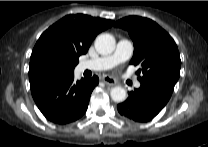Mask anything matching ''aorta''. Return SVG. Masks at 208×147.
Returning <instances> with one entry per match:
<instances>
[{"label": "aorta", "mask_w": 208, "mask_h": 147, "mask_svg": "<svg viewBox=\"0 0 208 147\" xmlns=\"http://www.w3.org/2000/svg\"><path fill=\"white\" fill-rule=\"evenodd\" d=\"M115 46L116 41L111 34L103 33L95 39V49L102 55L111 54L115 50ZM110 95L112 100L117 103L123 102L127 98L126 90L120 86L112 88Z\"/></svg>", "instance_id": "1"}]
</instances>
